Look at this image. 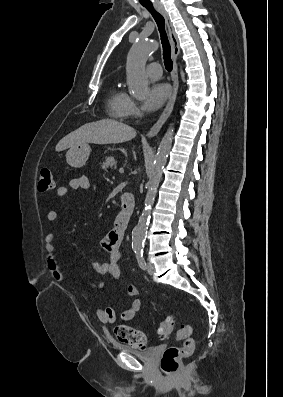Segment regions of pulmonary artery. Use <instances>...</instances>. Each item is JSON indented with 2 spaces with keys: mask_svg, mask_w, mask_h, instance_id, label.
Listing matches in <instances>:
<instances>
[{
  "mask_svg": "<svg viewBox=\"0 0 283 397\" xmlns=\"http://www.w3.org/2000/svg\"><path fill=\"white\" fill-rule=\"evenodd\" d=\"M147 74L153 80L159 79L162 75V68L160 64L157 62L151 63L147 67Z\"/></svg>",
  "mask_w": 283,
  "mask_h": 397,
  "instance_id": "pulmonary-artery-1",
  "label": "pulmonary artery"
}]
</instances>
